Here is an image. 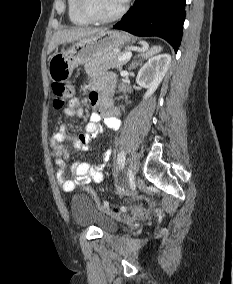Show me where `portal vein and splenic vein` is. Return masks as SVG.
<instances>
[{
	"label": "portal vein and splenic vein",
	"mask_w": 233,
	"mask_h": 284,
	"mask_svg": "<svg viewBox=\"0 0 233 284\" xmlns=\"http://www.w3.org/2000/svg\"><path fill=\"white\" fill-rule=\"evenodd\" d=\"M132 57V52L128 51L118 58L119 61H128Z\"/></svg>",
	"instance_id": "obj_1"
}]
</instances>
